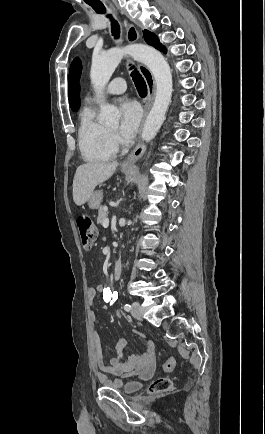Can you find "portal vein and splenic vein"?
Instances as JSON below:
<instances>
[{"label":"portal vein and splenic vein","instance_id":"obj_1","mask_svg":"<svg viewBox=\"0 0 265 434\" xmlns=\"http://www.w3.org/2000/svg\"><path fill=\"white\" fill-rule=\"evenodd\" d=\"M108 226H109V220L107 218V220H104L103 228H108Z\"/></svg>","mask_w":265,"mask_h":434}]
</instances>
